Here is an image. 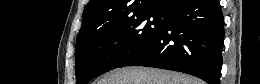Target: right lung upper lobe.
<instances>
[{"label": "right lung upper lobe", "instance_id": "1", "mask_svg": "<svg viewBox=\"0 0 260 84\" xmlns=\"http://www.w3.org/2000/svg\"><path fill=\"white\" fill-rule=\"evenodd\" d=\"M184 0H90L83 12V23L76 43L86 39L98 26L140 13H167Z\"/></svg>", "mask_w": 260, "mask_h": 84}]
</instances>
